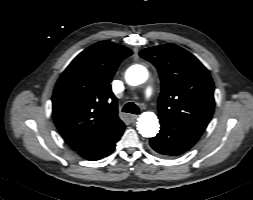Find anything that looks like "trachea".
<instances>
[{
	"label": "trachea",
	"instance_id": "1",
	"mask_svg": "<svg viewBox=\"0 0 253 200\" xmlns=\"http://www.w3.org/2000/svg\"><path fill=\"white\" fill-rule=\"evenodd\" d=\"M123 112L126 113H132V114H139V108L136 104H134L133 102H128L124 105Z\"/></svg>",
	"mask_w": 253,
	"mask_h": 200
}]
</instances>
